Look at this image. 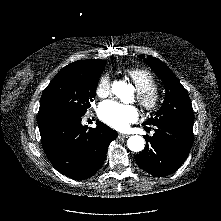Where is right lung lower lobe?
<instances>
[{"label":"right lung lower lobe","instance_id":"98d812e1","mask_svg":"<svg viewBox=\"0 0 221 221\" xmlns=\"http://www.w3.org/2000/svg\"><path fill=\"white\" fill-rule=\"evenodd\" d=\"M82 116L57 119L39 126L44 151L54 168L74 180H85L102 166L108 145L117 132L97 121L81 124Z\"/></svg>","mask_w":221,"mask_h":221}]
</instances>
